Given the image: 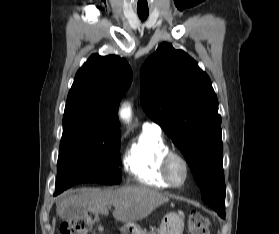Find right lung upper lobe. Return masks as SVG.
Wrapping results in <instances>:
<instances>
[{"label": "right lung upper lobe", "instance_id": "obj_1", "mask_svg": "<svg viewBox=\"0 0 279 234\" xmlns=\"http://www.w3.org/2000/svg\"><path fill=\"white\" fill-rule=\"evenodd\" d=\"M132 78L125 59L116 55L93 54L75 76L64 119H84L98 131L120 133L119 102L130 87Z\"/></svg>", "mask_w": 279, "mask_h": 234}]
</instances>
